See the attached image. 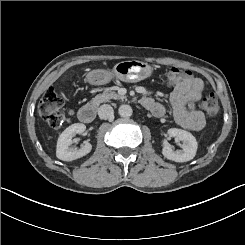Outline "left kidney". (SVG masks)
Wrapping results in <instances>:
<instances>
[{
  "label": "left kidney",
  "instance_id": "1",
  "mask_svg": "<svg viewBox=\"0 0 245 245\" xmlns=\"http://www.w3.org/2000/svg\"><path fill=\"white\" fill-rule=\"evenodd\" d=\"M169 137L181 142L182 150L174 151L172 146L166 143L162 149V155L174 162H187L192 160L197 152L198 143L196 138L188 131L171 128L168 130Z\"/></svg>",
  "mask_w": 245,
  "mask_h": 245
}]
</instances>
